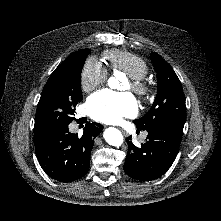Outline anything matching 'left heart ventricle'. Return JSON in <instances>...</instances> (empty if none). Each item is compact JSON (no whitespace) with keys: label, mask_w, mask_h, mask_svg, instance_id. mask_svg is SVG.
<instances>
[{"label":"left heart ventricle","mask_w":221,"mask_h":221,"mask_svg":"<svg viewBox=\"0 0 221 221\" xmlns=\"http://www.w3.org/2000/svg\"><path fill=\"white\" fill-rule=\"evenodd\" d=\"M121 89H122V90H129V89H130V84H129V82L124 83V84L122 85Z\"/></svg>","instance_id":"obj_1"}]
</instances>
